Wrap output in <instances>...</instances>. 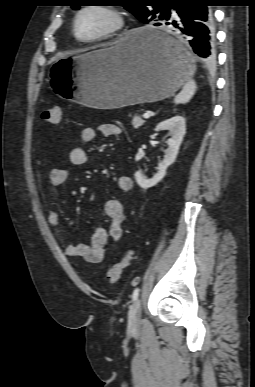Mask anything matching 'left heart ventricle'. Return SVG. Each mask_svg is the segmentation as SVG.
<instances>
[{
	"label": "left heart ventricle",
	"mask_w": 255,
	"mask_h": 387,
	"mask_svg": "<svg viewBox=\"0 0 255 387\" xmlns=\"http://www.w3.org/2000/svg\"><path fill=\"white\" fill-rule=\"evenodd\" d=\"M112 23L109 15L99 11H87L78 21V31L82 37H92L107 29Z\"/></svg>",
	"instance_id": "1"
}]
</instances>
